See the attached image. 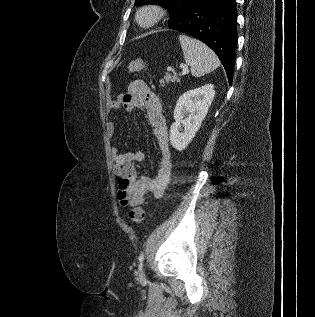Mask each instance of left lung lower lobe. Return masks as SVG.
Returning a JSON list of instances; mask_svg holds the SVG:
<instances>
[{"mask_svg":"<svg viewBox=\"0 0 315 317\" xmlns=\"http://www.w3.org/2000/svg\"><path fill=\"white\" fill-rule=\"evenodd\" d=\"M170 28L191 35L209 46L233 81L237 45L236 0H194L184 17Z\"/></svg>","mask_w":315,"mask_h":317,"instance_id":"0a47b994","label":"left lung lower lobe"}]
</instances>
